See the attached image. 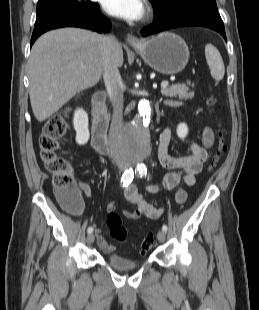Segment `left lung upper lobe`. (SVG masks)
<instances>
[{
    "mask_svg": "<svg viewBox=\"0 0 259 310\" xmlns=\"http://www.w3.org/2000/svg\"><path fill=\"white\" fill-rule=\"evenodd\" d=\"M155 8L154 22H161L191 10L217 11L216 0H150Z\"/></svg>",
    "mask_w": 259,
    "mask_h": 310,
    "instance_id": "obj_1",
    "label": "left lung upper lobe"
}]
</instances>
